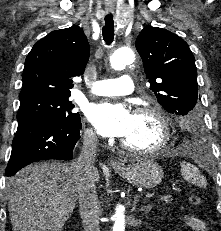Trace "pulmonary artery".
<instances>
[{
	"label": "pulmonary artery",
	"mask_w": 221,
	"mask_h": 231,
	"mask_svg": "<svg viewBox=\"0 0 221 231\" xmlns=\"http://www.w3.org/2000/svg\"><path fill=\"white\" fill-rule=\"evenodd\" d=\"M133 89L134 82L132 77L123 75L118 79L95 82L90 93L98 96H121L130 94Z\"/></svg>",
	"instance_id": "obj_1"
}]
</instances>
